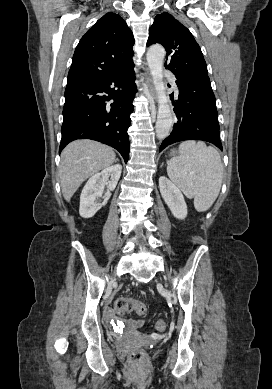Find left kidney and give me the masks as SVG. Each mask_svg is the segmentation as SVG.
<instances>
[{
	"mask_svg": "<svg viewBox=\"0 0 272 389\" xmlns=\"http://www.w3.org/2000/svg\"><path fill=\"white\" fill-rule=\"evenodd\" d=\"M159 189L162 198L175 218L183 220L187 216V205L180 189L167 177L159 178Z\"/></svg>",
	"mask_w": 272,
	"mask_h": 389,
	"instance_id": "obj_1",
	"label": "left kidney"
}]
</instances>
